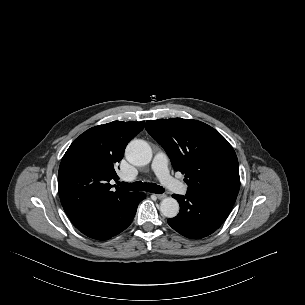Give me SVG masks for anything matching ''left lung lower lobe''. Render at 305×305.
I'll use <instances>...</instances> for the list:
<instances>
[{
  "label": "left lung lower lobe",
  "instance_id": "left-lung-lower-lobe-1",
  "mask_svg": "<svg viewBox=\"0 0 305 305\" xmlns=\"http://www.w3.org/2000/svg\"><path fill=\"white\" fill-rule=\"evenodd\" d=\"M180 204V212L168 224L181 235L199 239L216 231L228 217L237 194L189 193L172 195Z\"/></svg>",
  "mask_w": 305,
  "mask_h": 305
}]
</instances>
